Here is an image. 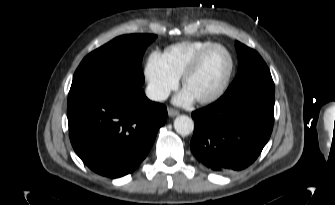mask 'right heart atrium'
Listing matches in <instances>:
<instances>
[{
    "instance_id": "d8ad5b80",
    "label": "right heart atrium",
    "mask_w": 335,
    "mask_h": 205,
    "mask_svg": "<svg viewBox=\"0 0 335 205\" xmlns=\"http://www.w3.org/2000/svg\"><path fill=\"white\" fill-rule=\"evenodd\" d=\"M143 74L148 95L155 101L163 100L177 86L179 80V77L166 65L162 54L158 52H152L148 56Z\"/></svg>"
}]
</instances>
